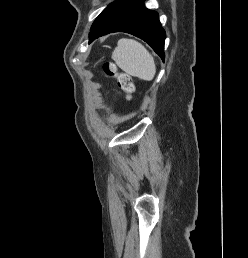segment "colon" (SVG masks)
Returning <instances> with one entry per match:
<instances>
[{
  "label": "colon",
  "instance_id": "obj_1",
  "mask_svg": "<svg viewBox=\"0 0 248 258\" xmlns=\"http://www.w3.org/2000/svg\"><path fill=\"white\" fill-rule=\"evenodd\" d=\"M103 71L106 76L116 78L118 88L127 99L132 97L134 84L132 76L129 73L119 71L117 66L111 62H107L103 65Z\"/></svg>",
  "mask_w": 248,
  "mask_h": 258
}]
</instances>
